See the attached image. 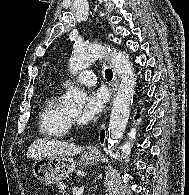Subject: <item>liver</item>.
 Here are the masks:
<instances>
[{"mask_svg": "<svg viewBox=\"0 0 189 195\" xmlns=\"http://www.w3.org/2000/svg\"><path fill=\"white\" fill-rule=\"evenodd\" d=\"M84 151V147L61 142L57 140H49L40 138L33 141L28 147L27 157L39 159L51 155L59 156H75Z\"/></svg>", "mask_w": 189, "mask_h": 195, "instance_id": "liver-1", "label": "liver"}]
</instances>
